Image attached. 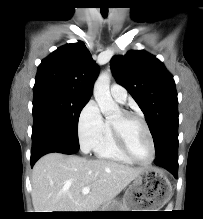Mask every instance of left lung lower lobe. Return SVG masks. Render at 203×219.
Masks as SVG:
<instances>
[{
	"mask_svg": "<svg viewBox=\"0 0 203 219\" xmlns=\"http://www.w3.org/2000/svg\"><path fill=\"white\" fill-rule=\"evenodd\" d=\"M155 164L170 171L176 178L178 174V143L167 147L160 155L156 156Z\"/></svg>",
	"mask_w": 203,
	"mask_h": 219,
	"instance_id": "1",
	"label": "left lung lower lobe"
}]
</instances>
